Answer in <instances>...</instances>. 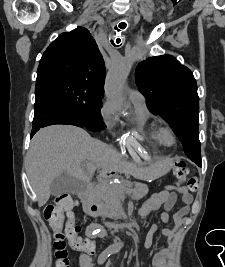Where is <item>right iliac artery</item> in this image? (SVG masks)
I'll return each instance as SVG.
<instances>
[{
  "label": "right iliac artery",
  "mask_w": 225,
  "mask_h": 267,
  "mask_svg": "<svg viewBox=\"0 0 225 267\" xmlns=\"http://www.w3.org/2000/svg\"><path fill=\"white\" fill-rule=\"evenodd\" d=\"M98 233V229L94 231V234ZM113 253V249L107 248L105 249L98 257V264H103L106 259Z\"/></svg>",
  "instance_id": "1"
}]
</instances>
